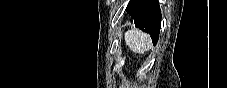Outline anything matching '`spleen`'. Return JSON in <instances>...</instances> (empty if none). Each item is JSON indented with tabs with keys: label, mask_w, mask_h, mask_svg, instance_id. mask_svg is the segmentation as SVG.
Returning <instances> with one entry per match:
<instances>
[{
	"label": "spleen",
	"mask_w": 227,
	"mask_h": 88,
	"mask_svg": "<svg viewBox=\"0 0 227 88\" xmlns=\"http://www.w3.org/2000/svg\"><path fill=\"white\" fill-rule=\"evenodd\" d=\"M124 38L126 45L135 53H144L152 46L150 36L138 29H130L126 31Z\"/></svg>",
	"instance_id": "3e777b00"
}]
</instances>
